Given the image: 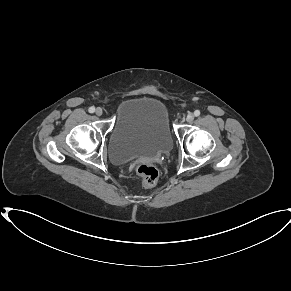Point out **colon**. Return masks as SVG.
I'll list each match as a JSON object with an SVG mask.
<instances>
[{
	"label": "colon",
	"mask_w": 291,
	"mask_h": 291,
	"mask_svg": "<svg viewBox=\"0 0 291 291\" xmlns=\"http://www.w3.org/2000/svg\"><path fill=\"white\" fill-rule=\"evenodd\" d=\"M137 175L141 177L146 186H154L159 179V171L156 167L148 164H138L135 167Z\"/></svg>",
	"instance_id": "colon-1"
}]
</instances>
